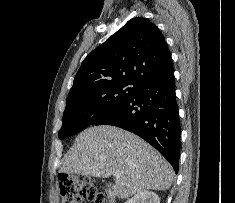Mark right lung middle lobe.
<instances>
[{"label":"right lung middle lobe","instance_id":"1","mask_svg":"<svg viewBox=\"0 0 235 203\" xmlns=\"http://www.w3.org/2000/svg\"><path fill=\"white\" fill-rule=\"evenodd\" d=\"M139 83L111 80L88 85L69 93L59 139L72 136L108 115L123 104Z\"/></svg>","mask_w":235,"mask_h":203}]
</instances>
